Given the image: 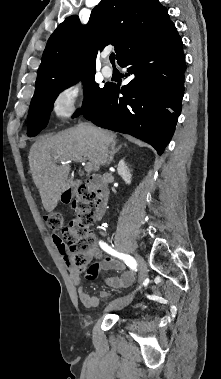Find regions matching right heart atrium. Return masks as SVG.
<instances>
[{
	"mask_svg": "<svg viewBox=\"0 0 221 379\" xmlns=\"http://www.w3.org/2000/svg\"><path fill=\"white\" fill-rule=\"evenodd\" d=\"M84 86L71 80L63 84L54 94L52 110L60 119H69L84 100Z\"/></svg>",
	"mask_w": 221,
	"mask_h": 379,
	"instance_id": "obj_1",
	"label": "right heart atrium"
}]
</instances>
